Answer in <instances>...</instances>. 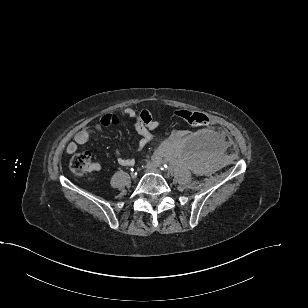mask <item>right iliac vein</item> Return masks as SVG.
<instances>
[{"instance_id": "obj_1", "label": "right iliac vein", "mask_w": 308, "mask_h": 308, "mask_svg": "<svg viewBox=\"0 0 308 308\" xmlns=\"http://www.w3.org/2000/svg\"><path fill=\"white\" fill-rule=\"evenodd\" d=\"M131 177L134 179L136 178V174L135 173H131Z\"/></svg>"}]
</instances>
